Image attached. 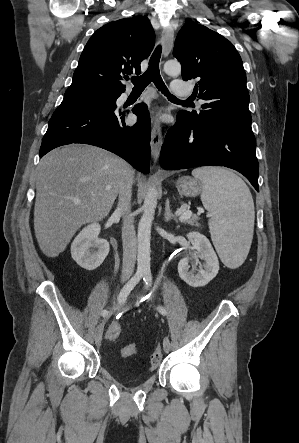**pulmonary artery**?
Masks as SVG:
<instances>
[{
    "label": "pulmonary artery",
    "instance_id": "1",
    "mask_svg": "<svg viewBox=\"0 0 299 443\" xmlns=\"http://www.w3.org/2000/svg\"><path fill=\"white\" fill-rule=\"evenodd\" d=\"M171 90L175 96L179 97H186L191 94L189 86L180 80H174L171 83Z\"/></svg>",
    "mask_w": 299,
    "mask_h": 443
}]
</instances>
